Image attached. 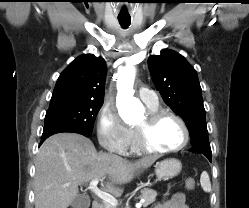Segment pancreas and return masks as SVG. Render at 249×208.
I'll list each match as a JSON object with an SVG mask.
<instances>
[{
    "label": "pancreas",
    "instance_id": "pancreas-1",
    "mask_svg": "<svg viewBox=\"0 0 249 208\" xmlns=\"http://www.w3.org/2000/svg\"><path fill=\"white\" fill-rule=\"evenodd\" d=\"M157 196V192L153 189L145 188L141 190V198L144 199L142 203L143 207H147L148 205L152 204ZM101 208H114L112 205L108 203H103Z\"/></svg>",
    "mask_w": 249,
    "mask_h": 208
}]
</instances>
